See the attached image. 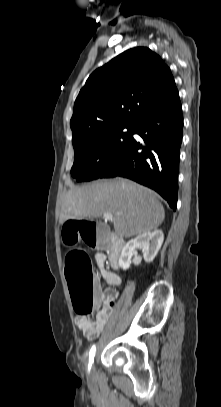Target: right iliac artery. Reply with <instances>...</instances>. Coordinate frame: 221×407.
Wrapping results in <instances>:
<instances>
[{
    "instance_id": "obj_1",
    "label": "right iliac artery",
    "mask_w": 221,
    "mask_h": 407,
    "mask_svg": "<svg viewBox=\"0 0 221 407\" xmlns=\"http://www.w3.org/2000/svg\"><path fill=\"white\" fill-rule=\"evenodd\" d=\"M95 352H96V346L93 345L89 352V365H88L89 370L91 369V365L94 362Z\"/></svg>"
}]
</instances>
